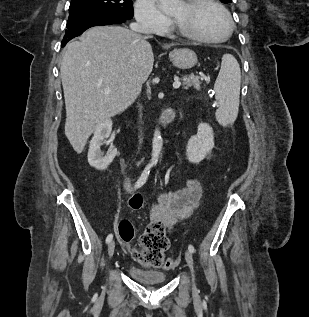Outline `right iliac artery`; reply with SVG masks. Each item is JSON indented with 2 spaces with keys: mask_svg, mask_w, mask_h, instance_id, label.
<instances>
[{
  "mask_svg": "<svg viewBox=\"0 0 309 317\" xmlns=\"http://www.w3.org/2000/svg\"><path fill=\"white\" fill-rule=\"evenodd\" d=\"M149 171H150V166H147L143 173L141 174V176L139 177V179L137 180L135 187L136 188H140L141 186L144 185V183L146 182L148 175H149ZM113 239V235L109 234L106 238V243H110Z\"/></svg>",
  "mask_w": 309,
  "mask_h": 317,
  "instance_id": "82829eb1",
  "label": "right iliac artery"
}]
</instances>
